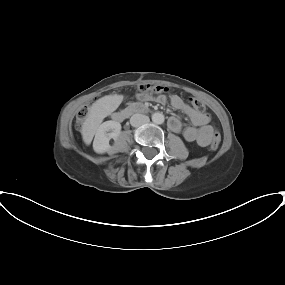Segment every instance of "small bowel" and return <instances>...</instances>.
Segmentation results:
<instances>
[{
	"label": "small bowel",
	"instance_id": "small-bowel-1",
	"mask_svg": "<svg viewBox=\"0 0 285 285\" xmlns=\"http://www.w3.org/2000/svg\"><path fill=\"white\" fill-rule=\"evenodd\" d=\"M138 100L149 101L156 100L159 103L166 101L165 96L153 97L151 95H138ZM171 105L183 112L191 121L192 126L183 127L181 121L176 117H171L168 126L175 133H182L188 142H196L200 146H208L212 140L211 126L209 125L210 117L208 114L199 112L185 103L179 96L172 95L170 97Z\"/></svg>",
	"mask_w": 285,
	"mask_h": 285
}]
</instances>
